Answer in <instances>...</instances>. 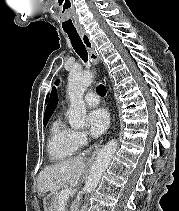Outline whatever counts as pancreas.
Masks as SVG:
<instances>
[{"mask_svg": "<svg viewBox=\"0 0 179 211\" xmlns=\"http://www.w3.org/2000/svg\"><path fill=\"white\" fill-rule=\"evenodd\" d=\"M59 196H60V192L56 193L54 198H53L52 205H51L52 211H57V209L60 205L61 201L59 200ZM63 202H64L63 206L67 207L68 200L63 201ZM70 211H76V207H75L74 203H72Z\"/></svg>", "mask_w": 179, "mask_h": 211, "instance_id": "cf45deb5", "label": "pancreas"}]
</instances>
